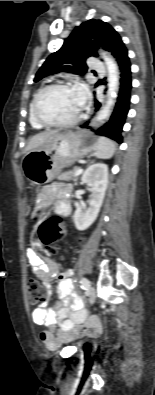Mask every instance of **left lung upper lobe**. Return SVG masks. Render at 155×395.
<instances>
[{"label": "left lung upper lobe", "instance_id": "obj_1", "mask_svg": "<svg viewBox=\"0 0 155 395\" xmlns=\"http://www.w3.org/2000/svg\"><path fill=\"white\" fill-rule=\"evenodd\" d=\"M100 46L111 52L117 62L128 54L120 35L111 25L95 19L83 22L73 30L63 46L46 59L34 81L58 72L84 74L87 71L86 59L97 57L96 50Z\"/></svg>", "mask_w": 155, "mask_h": 395}]
</instances>
